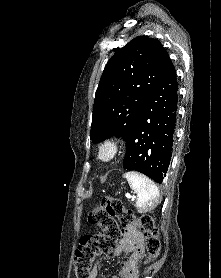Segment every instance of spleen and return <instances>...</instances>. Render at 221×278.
<instances>
[{"mask_svg":"<svg viewBox=\"0 0 221 278\" xmlns=\"http://www.w3.org/2000/svg\"><path fill=\"white\" fill-rule=\"evenodd\" d=\"M123 177L137 194L136 206L140 213L151 211L158 205L160 194L152 180L136 172H127L123 174Z\"/></svg>","mask_w":221,"mask_h":278,"instance_id":"obj_1","label":"spleen"}]
</instances>
